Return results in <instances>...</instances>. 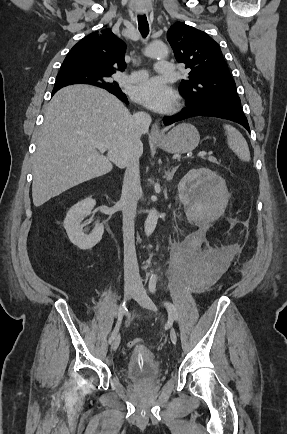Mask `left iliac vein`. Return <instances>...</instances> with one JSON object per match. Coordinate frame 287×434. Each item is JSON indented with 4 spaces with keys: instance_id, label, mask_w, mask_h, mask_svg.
I'll list each match as a JSON object with an SVG mask.
<instances>
[{
    "instance_id": "obj_1",
    "label": "left iliac vein",
    "mask_w": 287,
    "mask_h": 434,
    "mask_svg": "<svg viewBox=\"0 0 287 434\" xmlns=\"http://www.w3.org/2000/svg\"><path fill=\"white\" fill-rule=\"evenodd\" d=\"M133 298L144 308L157 311V308L142 285H138L132 294ZM170 339L173 344L177 342V333L174 328H170Z\"/></svg>"
}]
</instances>
